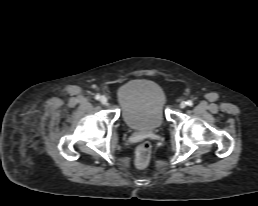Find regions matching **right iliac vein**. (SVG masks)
<instances>
[{
	"label": "right iliac vein",
	"mask_w": 258,
	"mask_h": 206,
	"mask_svg": "<svg viewBox=\"0 0 258 206\" xmlns=\"http://www.w3.org/2000/svg\"><path fill=\"white\" fill-rule=\"evenodd\" d=\"M100 102L103 104V105H106L108 103V99L106 96H101L100 97Z\"/></svg>",
	"instance_id": "1"
}]
</instances>
